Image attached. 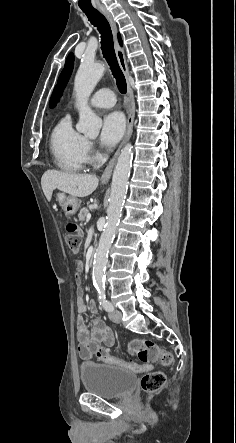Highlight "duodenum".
I'll return each instance as SVG.
<instances>
[{
	"label": "duodenum",
	"mask_w": 236,
	"mask_h": 443,
	"mask_svg": "<svg viewBox=\"0 0 236 443\" xmlns=\"http://www.w3.org/2000/svg\"><path fill=\"white\" fill-rule=\"evenodd\" d=\"M88 265L89 266H92L93 265V262H94V253H91L89 256H88Z\"/></svg>",
	"instance_id": "410a0bca"
}]
</instances>
